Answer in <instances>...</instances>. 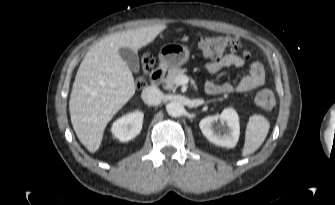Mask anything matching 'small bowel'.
<instances>
[{"label": "small bowel", "instance_id": "1", "mask_svg": "<svg viewBox=\"0 0 335 205\" xmlns=\"http://www.w3.org/2000/svg\"><path fill=\"white\" fill-rule=\"evenodd\" d=\"M245 65V59L236 54H226L220 59L209 62L206 65V70L210 74H215L218 71L235 67L242 68ZM265 82V71L263 65L258 61H253L250 64L249 72L235 86L230 83L215 84L209 82L205 88L212 91L213 94H229L234 91L243 93L248 92L262 86Z\"/></svg>", "mask_w": 335, "mask_h": 205}]
</instances>
